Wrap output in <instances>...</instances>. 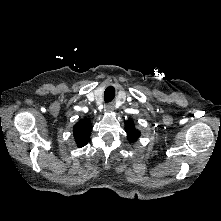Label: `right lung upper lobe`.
<instances>
[{
	"label": "right lung upper lobe",
	"mask_w": 221,
	"mask_h": 221,
	"mask_svg": "<svg viewBox=\"0 0 221 221\" xmlns=\"http://www.w3.org/2000/svg\"><path fill=\"white\" fill-rule=\"evenodd\" d=\"M91 130L92 126L89 119L80 120L74 125V139L78 147H83L88 143Z\"/></svg>",
	"instance_id": "obj_1"
}]
</instances>
